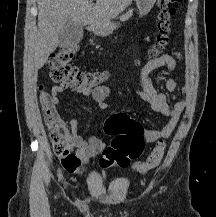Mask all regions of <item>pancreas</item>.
Returning a JSON list of instances; mask_svg holds the SVG:
<instances>
[{"instance_id":"1","label":"pancreas","mask_w":216,"mask_h":217,"mask_svg":"<svg viewBox=\"0 0 216 217\" xmlns=\"http://www.w3.org/2000/svg\"><path fill=\"white\" fill-rule=\"evenodd\" d=\"M132 14H133L132 10H129L128 12H126L125 14H123V15L120 17V19L126 20V19L130 18V17L132 16Z\"/></svg>"}]
</instances>
